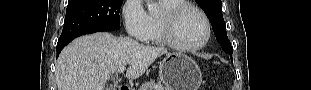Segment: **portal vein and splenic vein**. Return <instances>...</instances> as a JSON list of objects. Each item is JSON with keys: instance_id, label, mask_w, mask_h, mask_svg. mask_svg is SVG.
Here are the masks:
<instances>
[{"instance_id": "obj_1", "label": "portal vein and splenic vein", "mask_w": 311, "mask_h": 90, "mask_svg": "<svg viewBox=\"0 0 311 90\" xmlns=\"http://www.w3.org/2000/svg\"><path fill=\"white\" fill-rule=\"evenodd\" d=\"M125 69H126L125 66H121V67L117 70V72H118V73H123V72L125 71Z\"/></svg>"}]
</instances>
